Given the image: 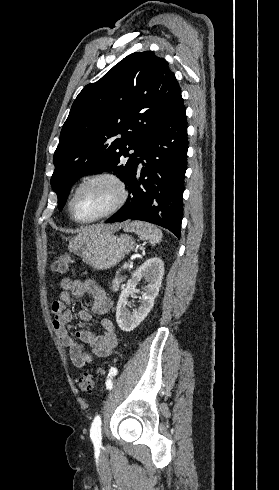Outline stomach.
Masks as SVG:
<instances>
[{
  "label": "stomach",
  "instance_id": "obj_1",
  "mask_svg": "<svg viewBox=\"0 0 279 490\" xmlns=\"http://www.w3.org/2000/svg\"><path fill=\"white\" fill-rule=\"evenodd\" d=\"M136 244L127 234L122 236H98L94 240H88L84 244H77L74 238L68 244L69 252L82 258V262L88 264L93 270H110L123 260L126 254L134 250Z\"/></svg>",
  "mask_w": 279,
  "mask_h": 490
}]
</instances>
